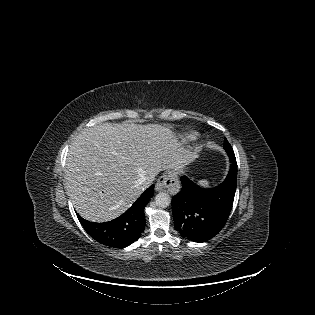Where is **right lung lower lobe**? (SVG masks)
Returning <instances> with one entry per match:
<instances>
[{"mask_svg":"<svg viewBox=\"0 0 315 315\" xmlns=\"http://www.w3.org/2000/svg\"><path fill=\"white\" fill-rule=\"evenodd\" d=\"M153 189L154 185H151L125 213L112 221L94 223L79 215L78 219L86 232L99 243L125 248L136 241L145 228L144 207L153 196Z\"/></svg>","mask_w":315,"mask_h":315,"instance_id":"98d812e1","label":"right lung lower lobe"}]
</instances>
